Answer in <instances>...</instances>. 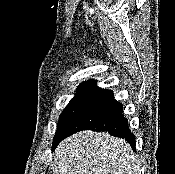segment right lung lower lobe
<instances>
[{
	"label": "right lung lower lobe",
	"instance_id": "98d812e1",
	"mask_svg": "<svg viewBox=\"0 0 175 174\" xmlns=\"http://www.w3.org/2000/svg\"><path fill=\"white\" fill-rule=\"evenodd\" d=\"M82 130L108 132L125 139L135 150V135L131 133L128 121L123 116V105L114 99L111 90L97 88L89 94L61 139L53 144V150L63 139Z\"/></svg>",
	"mask_w": 175,
	"mask_h": 174
}]
</instances>
